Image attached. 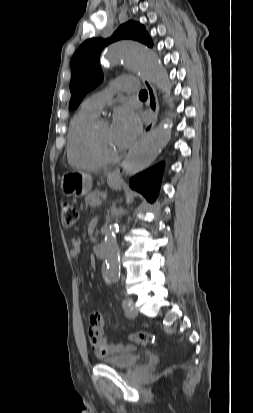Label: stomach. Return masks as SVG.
<instances>
[{"label":"stomach","instance_id":"obj_1","mask_svg":"<svg viewBox=\"0 0 253 413\" xmlns=\"http://www.w3.org/2000/svg\"><path fill=\"white\" fill-rule=\"evenodd\" d=\"M109 186L113 189H121L120 181H109ZM92 188V178L84 172H67L61 179V190L66 196L81 197L90 192Z\"/></svg>","mask_w":253,"mask_h":413}]
</instances>
